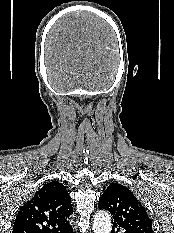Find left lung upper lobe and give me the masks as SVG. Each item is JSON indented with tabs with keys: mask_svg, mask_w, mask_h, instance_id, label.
<instances>
[{
	"mask_svg": "<svg viewBox=\"0 0 174 233\" xmlns=\"http://www.w3.org/2000/svg\"><path fill=\"white\" fill-rule=\"evenodd\" d=\"M99 209L108 210L113 217V227L125 233H152V221L133 193L125 186L111 183L101 195Z\"/></svg>",
	"mask_w": 174,
	"mask_h": 233,
	"instance_id": "5c2ea615",
	"label": "left lung upper lobe"
}]
</instances>
